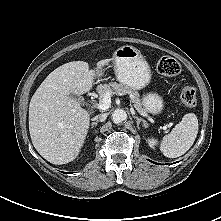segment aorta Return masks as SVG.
<instances>
[{
	"label": "aorta",
	"mask_w": 221,
	"mask_h": 221,
	"mask_svg": "<svg viewBox=\"0 0 221 221\" xmlns=\"http://www.w3.org/2000/svg\"><path fill=\"white\" fill-rule=\"evenodd\" d=\"M127 119V114L123 109H116L112 113V120L115 124L121 123Z\"/></svg>",
	"instance_id": "aorta-1"
}]
</instances>
